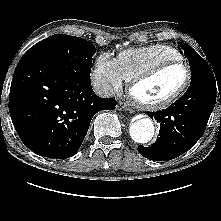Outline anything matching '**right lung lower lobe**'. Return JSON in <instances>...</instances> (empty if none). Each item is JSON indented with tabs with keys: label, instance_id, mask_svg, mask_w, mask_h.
I'll return each instance as SVG.
<instances>
[{
	"label": "right lung lower lobe",
	"instance_id": "98d812e1",
	"mask_svg": "<svg viewBox=\"0 0 221 221\" xmlns=\"http://www.w3.org/2000/svg\"><path fill=\"white\" fill-rule=\"evenodd\" d=\"M116 103L94 93L90 75L26 52L13 75L9 112L26 147L44 157L66 159L79 150L93 116L115 109Z\"/></svg>",
	"mask_w": 221,
	"mask_h": 221
}]
</instances>
